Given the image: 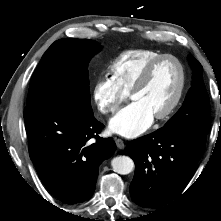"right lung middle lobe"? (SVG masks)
Listing matches in <instances>:
<instances>
[{"instance_id": "right-lung-middle-lobe-1", "label": "right lung middle lobe", "mask_w": 221, "mask_h": 221, "mask_svg": "<svg viewBox=\"0 0 221 221\" xmlns=\"http://www.w3.org/2000/svg\"><path fill=\"white\" fill-rule=\"evenodd\" d=\"M99 51V43L92 40L67 38L54 42L32 76L27 106L49 102L92 112L88 63Z\"/></svg>"}]
</instances>
